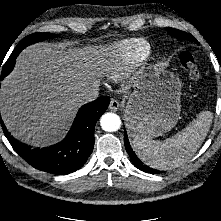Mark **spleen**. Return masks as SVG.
<instances>
[{"label": "spleen", "instance_id": "3e777b00", "mask_svg": "<svg viewBox=\"0 0 221 221\" xmlns=\"http://www.w3.org/2000/svg\"><path fill=\"white\" fill-rule=\"evenodd\" d=\"M212 118V112L203 111L186 128L163 142L135 137L133 145L136 153L146 165L154 169L177 168L201 146L209 132Z\"/></svg>", "mask_w": 221, "mask_h": 221}]
</instances>
